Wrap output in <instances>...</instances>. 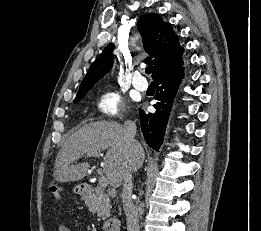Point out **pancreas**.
Returning a JSON list of instances; mask_svg holds the SVG:
<instances>
[{"label": "pancreas", "instance_id": "obj_1", "mask_svg": "<svg viewBox=\"0 0 261 231\" xmlns=\"http://www.w3.org/2000/svg\"><path fill=\"white\" fill-rule=\"evenodd\" d=\"M86 204L89 207L90 212L97 214L99 221L100 218L105 220L110 216V199L101 188L95 189V194L86 199Z\"/></svg>", "mask_w": 261, "mask_h": 231}]
</instances>
